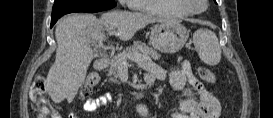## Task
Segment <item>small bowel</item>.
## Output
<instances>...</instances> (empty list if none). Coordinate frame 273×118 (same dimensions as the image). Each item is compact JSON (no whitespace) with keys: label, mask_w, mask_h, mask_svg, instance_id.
<instances>
[{"label":"small bowel","mask_w":273,"mask_h":118,"mask_svg":"<svg viewBox=\"0 0 273 118\" xmlns=\"http://www.w3.org/2000/svg\"><path fill=\"white\" fill-rule=\"evenodd\" d=\"M167 78L173 89L184 95L179 109L173 111L170 118H219L221 107L218 99L197 80L188 62L182 61L168 70L153 65L145 75V81L152 82L156 79ZM111 100L110 95L94 96L84 102L83 109L93 112L109 104ZM138 110L142 116L146 115V109L143 106H140ZM69 118H77L76 111H71Z\"/></svg>","instance_id":"c3829d8e"}]
</instances>
